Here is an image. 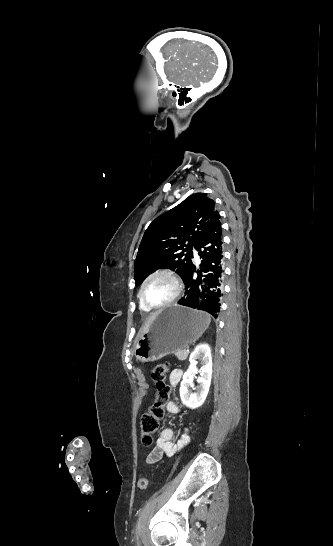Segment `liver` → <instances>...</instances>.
<instances>
[{"mask_svg":"<svg viewBox=\"0 0 333 546\" xmlns=\"http://www.w3.org/2000/svg\"><path fill=\"white\" fill-rule=\"evenodd\" d=\"M156 315H157V313H154V314H151V315L148 317V319H147L145 325L142 327V330H141V333H142V334H144V333L148 330V328H149L151 322L153 321V319L155 318Z\"/></svg>","mask_w":333,"mask_h":546,"instance_id":"6515ba94","label":"liver"}]
</instances>
